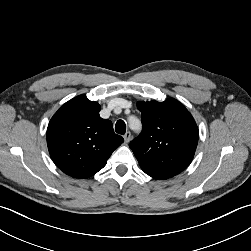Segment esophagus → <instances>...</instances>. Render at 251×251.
Wrapping results in <instances>:
<instances>
[{
    "label": "esophagus",
    "mask_w": 251,
    "mask_h": 251,
    "mask_svg": "<svg viewBox=\"0 0 251 251\" xmlns=\"http://www.w3.org/2000/svg\"><path fill=\"white\" fill-rule=\"evenodd\" d=\"M131 137H132L131 133L129 131L126 132L125 135H124L125 142L128 143L131 140Z\"/></svg>",
    "instance_id": "esophagus-1"
}]
</instances>
